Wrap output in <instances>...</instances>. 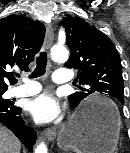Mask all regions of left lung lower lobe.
Returning a JSON list of instances; mask_svg holds the SVG:
<instances>
[{
  "label": "left lung lower lobe",
  "mask_w": 130,
  "mask_h": 153,
  "mask_svg": "<svg viewBox=\"0 0 130 153\" xmlns=\"http://www.w3.org/2000/svg\"><path fill=\"white\" fill-rule=\"evenodd\" d=\"M124 104V103H122ZM94 114V110L92 108H86L82 111L83 117H90Z\"/></svg>",
  "instance_id": "0a47b994"
}]
</instances>
